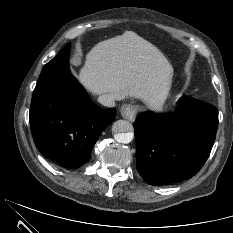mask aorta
Segmentation results:
<instances>
[{"mask_svg": "<svg viewBox=\"0 0 233 233\" xmlns=\"http://www.w3.org/2000/svg\"><path fill=\"white\" fill-rule=\"evenodd\" d=\"M133 126L129 121L118 120L114 122L112 131L114 132V139L119 143H130L133 139Z\"/></svg>", "mask_w": 233, "mask_h": 233, "instance_id": "obj_1", "label": "aorta"}]
</instances>
